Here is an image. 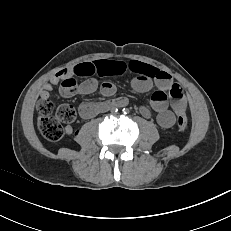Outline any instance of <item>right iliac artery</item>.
Instances as JSON below:
<instances>
[{
	"instance_id": "1",
	"label": "right iliac artery",
	"mask_w": 231,
	"mask_h": 231,
	"mask_svg": "<svg viewBox=\"0 0 231 231\" xmlns=\"http://www.w3.org/2000/svg\"><path fill=\"white\" fill-rule=\"evenodd\" d=\"M110 111H111V113H117L118 108L117 107H112Z\"/></svg>"
}]
</instances>
